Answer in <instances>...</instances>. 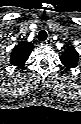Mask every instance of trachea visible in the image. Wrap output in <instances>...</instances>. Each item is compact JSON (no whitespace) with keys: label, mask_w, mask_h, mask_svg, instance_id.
Instances as JSON below:
<instances>
[{"label":"trachea","mask_w":81,"mask_h":124,"mask_svg":"<svg viewBox=\"0 0 81 124\" xmlns=\"http://www.w3.org/2000/svg\"><path fill=\"white\" fill-rule=\"evenodd\" d=\"M47 32L45 30H41L39 33H38V40L39 41H45L47 39Z\"/></svg>","instance_id":"1"}]
</instances>
